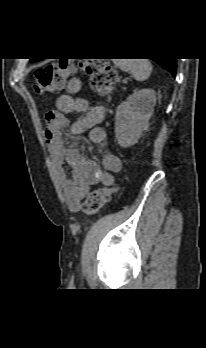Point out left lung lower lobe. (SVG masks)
<instances>
[{"mask_svg":"<svg viewBox=\"0 0 206 348\" xmlns=\"http://www.w3.org/2000/svg\"><path fill=\"white\" fill-rule=\"evenodd\" d=\"M152 60L168 70L173 76L176 74V58H158Z\"/></svg>","mask_w":206,"mask_h":348,"instance_id":"left-lung-lower-lobe-1","label":"left lung lower lobe"}]
</instances>
